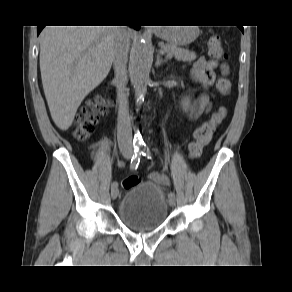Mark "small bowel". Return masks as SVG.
<instances>
[{
	"mask_svg": "<svg viewBox=\"0 0 292 292\" xmlns=\"http://www.w3.org/2000/svg\"><path fill=\"white\" fill-rule=\"evenodd\" d=\"M218 62L214 60H207L204 57H200L195 61L191 71H190V79L202 86L203 88H208L211 86L215 80V70L218 68ZM223 73L226 74L228 69L224 65L222 66ZM210 99L209 96L205 93L201 94L196 100V107L194 116L200 115L204 112H207L210 109ZM105 149H109V145L105 146ZM93 158L97 160L99 158V152L97 150H93ZM122 166V163H119ZM150 179L163 186L169 185L168 177L160 172H153L150 174Z\"/></svg>",
	"mask_w": 292,
	"mask_h": 292,
	"instance_id": "small-bowel-1",
	"label": "small bowel"
}]
</instances>
